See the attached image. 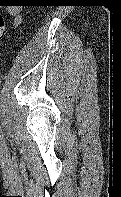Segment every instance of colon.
Listing matches in <instances>:
<instances>
[{"label": "colon", "mask_w": 121, "mask_h": 197, "mask_svg": "<svg viewBox=\"0 0 121 197\" xmlns=\"http://www.w3.org/2000/svg\"><path fill=\"white\" fill-rule=\"evenodd\" d=\"M6 32V20L2 14H0V40L4 37Z\"/></svg>", "instance_id": "obj_1"}]
</instances>
